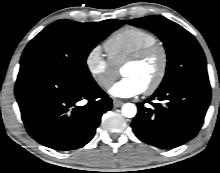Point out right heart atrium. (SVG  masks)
Masks as SVG:
<instances>
[{"label":"right heart atrium","mask_w":220,"mask_h":173,"mask_svg":"<svg viewBox=\"0 0 220 173\" xmlns=\"http://www.w3.org/2000/svg\"><path fill=\"white\" fill-rule=\"evenodd\" d=\"M84 63L89 76L101 89H108L117 77L118 68L104 56L99 46L87 52Z\"/></svg>","instance_id":"right-heart-atrium-1"}]
</instances>
